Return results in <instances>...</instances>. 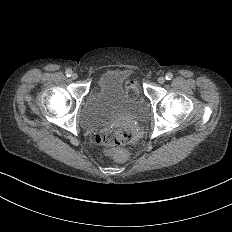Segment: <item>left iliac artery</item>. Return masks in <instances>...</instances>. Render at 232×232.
<instances>
[{
    "label": "left iliac artery",
    "mask_w": 232,
    "mask_h": 232,
    "mask_svg": "<svg viewBox=\"0 0 232 232\" xmlns=\"http://www.w3.org/2000/svg\"><path fill=\"white\" fill-rule=\"evenodd\" d=\"M173 78V74L171 72H168L166 75H165V79L166 80H171Z\"/></svg>",
    "instance_id": "left-iliac-artery-1"
}]
</instances>
